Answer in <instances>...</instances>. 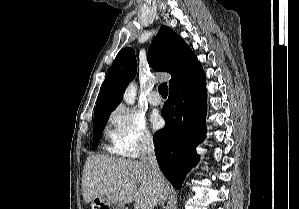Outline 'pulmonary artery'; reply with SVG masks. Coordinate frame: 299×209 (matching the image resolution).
<instances>
[{"label":"pulmonary artery","mask_w":299,"mask_h":209,"mask_svg":"<svg viewBox=\"0 0 299 209\" xmlns=\"http://www.w3.org/2000/svg\"><path fill=\"white\" fill-rule=\"evenodd\" d=\"M148 101L151 105L153 106H158L161 104L162 100L161 97L159 96L157 91H152L148 97Z\"/></svg>","instance_id":"e3ab8cb5"}]
</instances>
